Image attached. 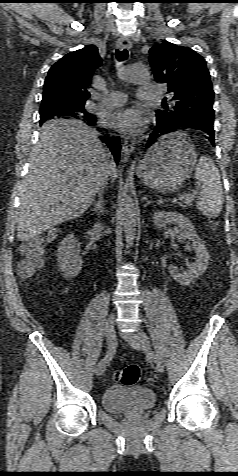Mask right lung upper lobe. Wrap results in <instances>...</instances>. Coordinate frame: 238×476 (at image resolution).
I'll return each mask as SVG.
<instances>
[{
	"label": "right lung upper lobe",
	"instance_id": "obj_1",
	"mask_svg": "<svg viewBox=\"0 0 238 476\" xmlns=\"http://www.w3.org/2000/svg\"><path fill=\"white\" fill-rule=\"evenodd\" d=\"M101 65L98 48L93 45L66 54L50 68L43 86L42 102L84 105L90 96L91 78Z\"/></svg>",
	"mask_w": 238,
	"mask_h": 476
}]
</instances>
